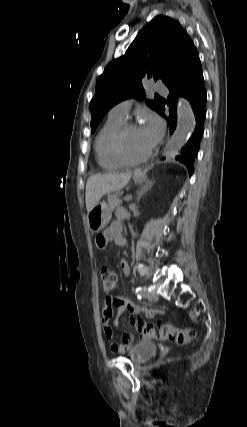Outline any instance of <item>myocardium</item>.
<instances>
[{
    "label": "myocardium",
    "instance_id": "obj_1",
    "mask_svg": "<svg viewBox=\"0 0 247 427\" xmlns=\"http://www.w3.org/2000/svg\"><path fill=\"white\" fill-rule=\"evenodd\" d=\"M138 128L136 124L126 122L124 123L119 130L117 131L114 139H113V152L116 158L123 163L124 165H136L147 161L152 153L153 148L151 147L145 154L138 158H131L125 151V137L127 133L132 130Z\"/></svg>",
    "mask_w": 247,
    "mask_h": 427
}]
</instances>
